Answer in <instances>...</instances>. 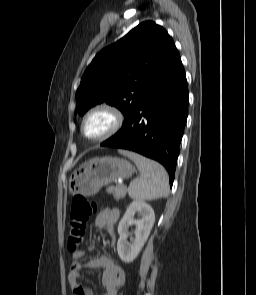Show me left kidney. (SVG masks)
<instances>
[{
    "label": "left kidney",
    "mask_w": 256,
    "mask_h": 295,
    "mask_svg": "<svg viewBox=\"0 0 256 295\" xmlns=\"http://www.w3.org/2000/svg\"><path fill=\"white\" fill-rule=\"evenodd\" d=\"M135 214H138L140 218L134 219ZM154 222V210L146 202L134 200L128 206L118 225L119 239L117 242V251L123 262L131 263L138 256L149 237ZM132 225H135L134 237L128 243V229Z\"/></svg>",
    "instance_id": "left-kidney-1"
}]
</instances>
